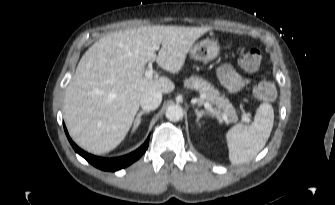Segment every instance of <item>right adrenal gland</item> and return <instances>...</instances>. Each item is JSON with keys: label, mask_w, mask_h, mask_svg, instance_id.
I'll return each instance as SVG.
<instances>
[{"label": "right adrenal gland", "mask_w": 335, "mask_h": 205, "mask_svg": "<svg viewBox=\"0 0 335 205\" xmlns=\"http://www.w3.org/2000/svg\"><path fill=\"white\" fill-rule=\"evenodd\" d=\"M148 113H149L148 110H142V111H140V112L137 114V116H136V118H135V120H134V123H133L132 132H134V131L138 128V126H139V124H140V122H141V117H142V115H144V114H148Z\"/></svg>", "instance_id": "obj_1"}]
</instances>
